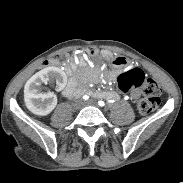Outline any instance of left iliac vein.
<instances>
[{"label":"left iliac vein","mask_w":183,"mask_h":183,"mask_svg":"<svg viewBox=\"0 0 183 183\" xmlns=\"http://www.w3.org/2000/svg\"><path fill=\"white\" fill-rule=\"evenodd\" d=\"M85 105L96 106L97 104L93 101H88V102L85 103Z\"/></svg>","instance_id":"4c4485c4"}]
</instances>
